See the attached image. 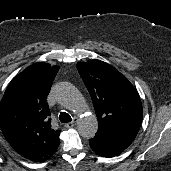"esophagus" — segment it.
<instances>
[{"mask_svg":"<svg viewBox=\"0 0 171 171\" xmlns=\"http://www.w3.org/2000/svg\"><path fill=\"white\" fill-rule=\"evenodd\" d=\"M77 121H78V118L77 117H74L71 122L65 124V127L66 128H71V127H73V126L76 125Z\"/></svg>","mask_w":171,"mask_h":171,"instance_id":"obj_1","label":"esophagus"}]
</instances>
